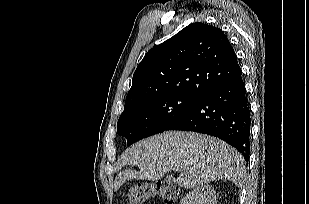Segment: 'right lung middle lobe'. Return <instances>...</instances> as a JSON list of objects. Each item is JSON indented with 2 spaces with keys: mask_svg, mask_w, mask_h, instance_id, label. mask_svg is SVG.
Wrapping results in <instances>:
<instances>
[{
  "mask_svg": "<svg viewBox=\"0 0 309 204\" xmlns=\"http://www.w3.org/2000/svg\"><path fill=\"white\" fill-rule=\"evenodd\" d=\"M199 96L168 94L149 97L125 105L117 123V133L131 145L145 137L165 131L187 112Z\"/></svg>",
  "mask_w": 309,
  "mask_h": 204,
  "instance_id": "dd1d6c3e",
  "label": "right lung middle lobe"
}]
</instances>
